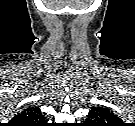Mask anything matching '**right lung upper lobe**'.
<instances>
[{
	"label": "right lung upper lobe",
	"mask_w": 135,
	"mask_h": 126,
	"mask_svg": "<svg viewBox=\"0 0 135 126\" xmlns=\"http://www.w3.org/2000/svg\"><path fill=\"white\" fill-rule=\"evenodd\" d=\"M45 124L44 115L38 106H29L16 114L10 121V126H42Z\"/></svg>",
	"instance_id": "cb5924a9"
}]
</instances>
